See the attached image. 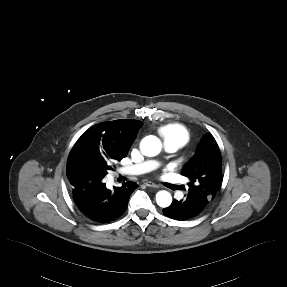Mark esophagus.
Listing matches in <instances>:
<instances>
[{
    "mask_svg": "<svg viewBox=\"0 0 287 287\" xmlns=\"http://www.w3.org/2000/svg\"><path fill=\"white\" fill-rule=\"evenodd\" d=\"M145 184L146 186L151 187V188H158V186L151 181H147Z\"/></svg>",
    "mask_w": 287,
    "mask_h": 287,
    "instance_id": "esophagus-1",
    "label": "esophagus"
}]
</instances>
